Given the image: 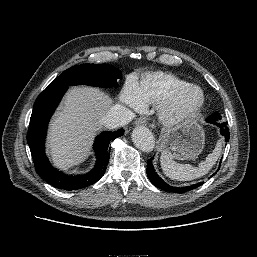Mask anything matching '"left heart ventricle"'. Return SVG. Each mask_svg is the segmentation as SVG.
<instances>
[{
  "instance_id": "1",
  "label": "left heart ventricle",
  "mask_w": 257,
  "mask_h": 257,
  "mask_svg": "<svg viewBox=\"0 0 257 257\" xmlns=\"http://www.w3.org/2000/svg\"><path fill=\"white\" fill-rule=\"evenodd\" d=\"M199 93L197 91H190L186 94H184L177 102L176 109L187 111L193 108L198 100H199Z\"/></svg>"
}]
</instances>
